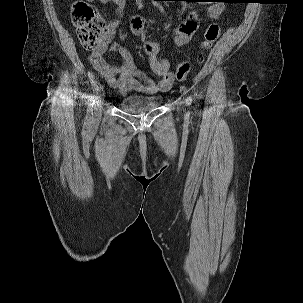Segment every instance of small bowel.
I'll return each instance as SVG.
<instances>
[{
    "instance_id": "small-bowel-1",
    "label": "small bowel",
    "mask_w": 303,
    "mask_h": 303,
    "mask_svg": "<svg viewBox=\"0 0 303 303\" xmlns=\"http://www.w3.org/2000/svg\"><path fill=\"white\" fill-rule=\"evenodd\" d=\"M101 5L112 4L117 15L108 24V35L103 43L96 47L89 54V62L94 70L99 72L106 82L121 93L138 91L146 94H153L159 91H167L171 88L174 80L173 73L169 69V61L160 57V45L154 41L145 39L144 27L146 20L141 15H134L130 20V29L133 34L143 40L144 51L148 57V64L151 71L159 76V82L147 78L134 64L133 57L123 47L112 45L110 38L120 24V17L126 8V0H98ZM207 10L210 19L218 18L224 11L225 5L222 1H213ZM198 29V16L190 12L187 19L182 22L175 31L174 42L176 46L182 47L190 42ZM112 49L120 54L123 63L120 66H113L107 63L103 54ZM142 80V82L140 81Z\"/></svg>"
}]
</instances>
